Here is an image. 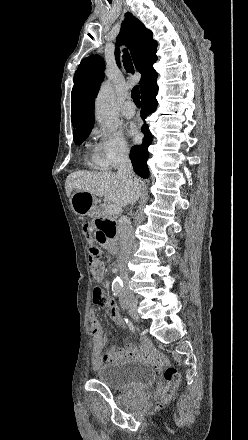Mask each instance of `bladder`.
<instances>
[{"mask_svg": "<svg viewBox=\"0 0 248 440\" xmlns=\"http://www.w3.org/2000/svg\"><path fill=\"white\" fill-rule=\"evenodd\" d=\"M96 379L110 389H144L155 379L154 370L147 364L126 359L100 367Z\"/></svg>", "mask_w": 248, "mask_h": 440, "instance_id": "obj_1", "label": "bladder"}]
</instances>
